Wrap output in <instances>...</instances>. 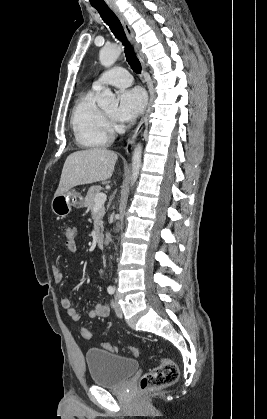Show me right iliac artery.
<instances>
[{"label": "right iliac artery", "mask_w": 267, "mask_h": 419, "mask_svg": "<svg viewBox=\"0 0 267 419\" xmlns=\"http://www.w3.org/2000/svg\"><path fill=\"white\" fill-rule=\"evenodd\" d=\"M107 291H108L109 294L112 295L114 293L115 289H114V287L109 286L108 289H107Z\"/></svg>", "instance_id": "right-iliac-artery-1"}]
</instances>
